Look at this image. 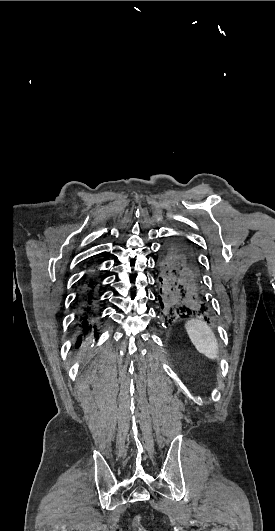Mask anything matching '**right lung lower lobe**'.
<instances>
[{
    "label": "right lung lower lobe",
    "mask_w": 275,
    "mask_h": 531,
    "mask_svg": "<svg viewBox=\"0 0 275 531\" xmlns=\"http://www.w3.org/2000/svg\"><path fill=\"white\" fill-rule=\"evenodd\" d=\"M95 295V281L93 276H90L83 285V289L79 295L81 309L76 317L77 329L80 332V335L77 339L78 345H80L83 335H87L91 332H94V335H97V328L95 324L96 311L94 306Z\"/></svg>",
    "instance_id": "obj_1"
}]
</instances>
